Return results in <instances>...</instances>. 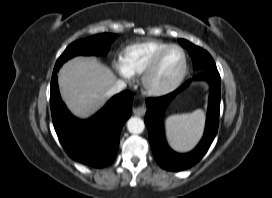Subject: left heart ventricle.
Instances as JSON below:
<instances>
[{
	"instance_id": "b2bd125f",
	"label": "left heart ventricle",
	"mask_w": 272,
	"mask_h": 198,
	"mask_svg": "<svg viewBox=\"0 0 272 198\" xmlns=\"http://www.w3.org/2000/svg\"><path fill=\"white\" fill-rule=\"evenodd\" d=\"M183 54L178 49L170 50L163 58L155 75L154 83L165 85L172 82L182 71Z\"/></svg>"
}]
</instances>
